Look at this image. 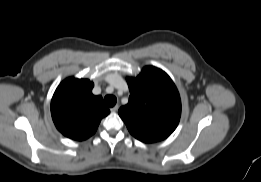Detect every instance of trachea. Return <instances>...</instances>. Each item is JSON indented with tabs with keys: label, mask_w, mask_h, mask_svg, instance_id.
Returning <instances> with one entry per match:
<instances>
[{
	"label": "trachea",
	"mask_w": 261,
	"mask_h": 182,
	"mask_svg": "<svg viewBox=\"0 0 261 182\" xmlns=\"http://www.w3.org/2000/svg\"><path fill=\"white\" fill-rule=\"evenodd\" d=\"M117 102V99L115 96L113 95H107L104 98V103L108 106V107H113Z\"/></svg>",
	"instance_id": "3493384b"
}]
</instances>
